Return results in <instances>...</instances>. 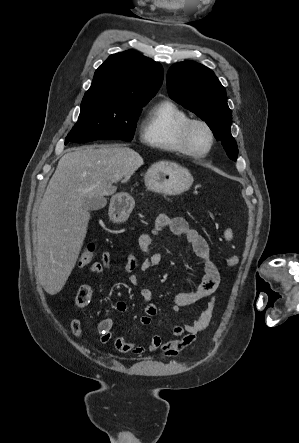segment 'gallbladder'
<instances>
[{"instance_id": "1", "label": "gallbladder", "mask_w": 299, "mask_h": 443, "mask_svg": "<svg viewBox=\"0 0 299 443\" xmlns=\"http://www.w3.org/2000/svg\"><path fill=\"white\" fill-rule=\"evenodd\" d=\"M107 201L104 197H89L83 199L82 207L88 210L97 211L106 205Z\"/></svg>"}]
</instances>
